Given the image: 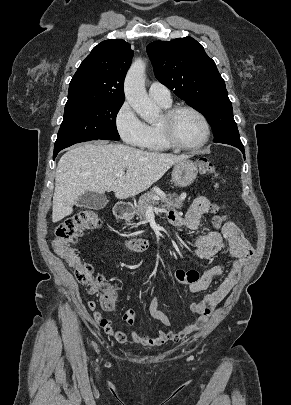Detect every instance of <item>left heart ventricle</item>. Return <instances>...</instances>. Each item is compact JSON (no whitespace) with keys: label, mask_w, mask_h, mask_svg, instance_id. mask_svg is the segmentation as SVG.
Masks as SVG:
<instances>
[{"label":"left heart ventricle","mask_w":291,"mask_h":405,"mask_svg":"<svg viewBox=\"0 0 291 405\" xmlns=\"http://www.w3.org/2000/svg\"><path fill=\"white\" fill-rule=\"evenodd\" d=\"M174 132L179 142L189 146L199 144L205 135L201 119L190 111H182L178 114L174 123Z\"/></svg>","instance_id":"1"}]
</instances>
